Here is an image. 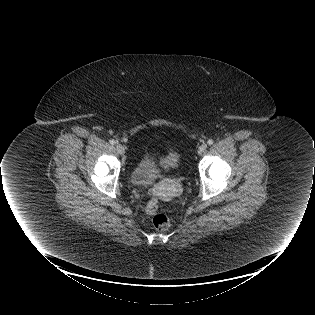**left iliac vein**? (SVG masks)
Returning <instances> with one entry per match:
<instances>
[{
  "instance_id": "1",
  "label": "left iliac vein",
  "mask_w": 315,
  "mask_h": 315,
  "mask_svg": "<svg viewBox=\"0 0 315 315\" xmlns=\"http://www.w3.org/2000/svg\"><path fill=\"white\" fill-rule=\"evenodd\" d=\"M207 149V144L206 143H202L199 148H198V154H203Z\"/></svg>"
}]
</instances>
